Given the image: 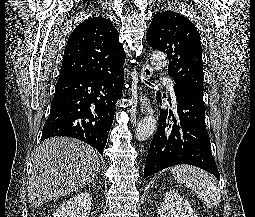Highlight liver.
<instances>
[{"mask_svg": "<svg viewBox=\"0 0 255 217\" xmlns=\"http://www.w3.org/2000/svg\"><path fill=\"white\" fill-rule=\"evenodd\" d=\"M97 151L69 137L43 141L33 154L28 196L31 206H40L89 183L99 170Z\"/></svg>", "mask_w": 255, "mask_h": 217, "instance_id": "1", "label": "liver"}]
</instances>
